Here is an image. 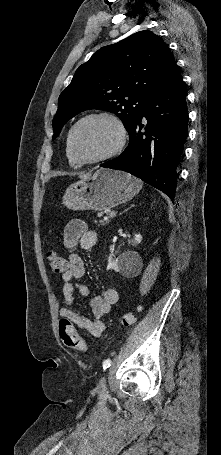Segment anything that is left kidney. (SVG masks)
Listing matches in <instances>:
<instances>
[{"label": "left kidney", "mask_w": 221, "mask_h": 455, "mask_svg": "<svg viewBox=\"0 0 221 455\" xmlns=\"http://www.w3.org/2000/svg\"><path fill=\"white\" fill-rule=\"evenodd\" d=\"M134 240L136 244H139L142 241L141 234H135ZM139 259V254L134 251L124 252L117 258H112V256H109L107 270H114L116 272H128L135 268L139 262Z\"/></svg>", "instance_id": "obj_1"}]
</instances>
